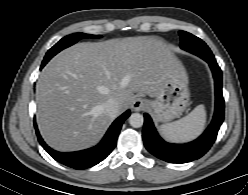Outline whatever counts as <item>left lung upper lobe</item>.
Masks as SVG:
<instances>
[{
	"label": "left lung upper lobe",
	"instance_id": "1",
	"mask_svg": "<svg viewBox=\"0 0 248 195\" xmlns=\"http://www.w3.org/2000/svg\"><path fill=\"white\" fill-rule=\"evenodd\" d=\"M181 44L180 47L190 53H193L197 56H200L198 54L199 51H205L211 56H213L211 50L206 45L204 41H202L200 38L185 32V31H179Z\"/></svg>",
	"mask_w": 248,
	"mask_h": 195
}]
</instances>
